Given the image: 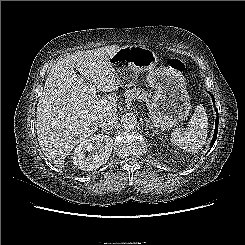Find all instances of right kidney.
Wrapping results in <instances>:
<instances>
[{"instance_id":"ca27d5eb","label":"right kidney","mask_w":245,"mask_h":245,"mask_svg":"<svg viewBox=\"0 0 245 245\" xmlns=\"http://www.w3.org/2000/svg\"><path fill=\"white\" fill-rule=\"evenodd\" d=\"M112 146L113 140L110 136L94 134L76 146L72 157L73 164L81 170L93 171L109 159Z\"/></svg>"}]
</instances>
